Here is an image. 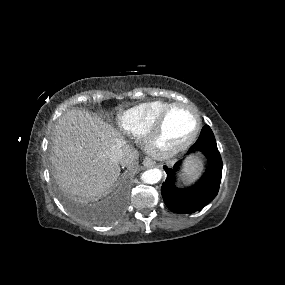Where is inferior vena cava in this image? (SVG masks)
<instances>
[{
  "label": "inferior vena cava",
  "instance_id": "inferior-vena-cava-1",
  "mask_svg": "<svg viewBox=\"0 0 285 285\" xmlns=\"http://www.w3.org/2000/svg\"><path fill=\"white\" fill-rule=\"evenodd\" d=\"M110 158L116 162V163H123V154L122 149L120 147L116 148L112 153L110 154Z\"/></svg>",
  "mask_w": 285,
  "mask_h": 285
}]
</instances>
